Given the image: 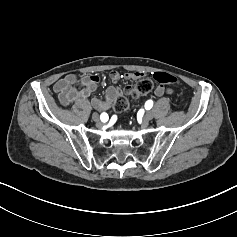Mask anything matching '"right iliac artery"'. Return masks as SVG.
<instances>
[{
  "label": "right iliac artery",
  "instance_id": "obj_1",
  "mask_svg": "<svg viewBox=\"0 0 237 237\" xmlns=\"http://www.w3.org/2000/svg\"><path fill=\"white\" fill-rule=\"evenodd\" d=\"M107 118H108V114L105 113V112H103V113L100 115V119H101V121H103V122L106 121Z\"/></svg>",
  "mask_w": 237,
  "mask_h": 237
}]
</instances>
